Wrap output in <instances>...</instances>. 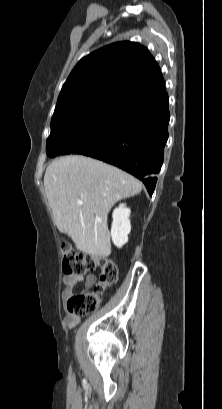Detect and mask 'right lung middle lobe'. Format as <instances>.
<instances>
[{
    "label": "right lung middle lobe",
    "instance_id": "1",
    "mask_svg": "<svg viewBox=\"0 0 222 409\" xmlns=\"http://www.w3.org/2000/svg\"><path fill=\"white\" fill-rule=\"evenodd\" d=\"M119 106L114 102H102L54 112L51 134L46 141L47 155H87L95 151L106 137Z\"/></svg>",
    "mask_w": 222,
    "mask_h": 409
}]
</instances>
